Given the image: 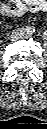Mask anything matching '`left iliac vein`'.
<instances>
[{
  "instance_id": "obj_1",
  "label": "left iliac vein",
  "mask_w": 47,
  "mask_h": 129,
  "mask_svg": "<svg viewBox=\"0 0 47 129\" xmlns=\"http://www.w3.org/2000/svg\"><path fill=\"white\" fill-rule=\"evenodd\" d=\"M26 36H27V37H30L31 35H30V34H27Z\"/></svg>"
}]
</instances>
